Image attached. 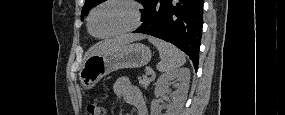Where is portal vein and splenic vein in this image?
I'll return each mask as SVG.
<instances>
[{
  "label": "portal vein and splenic vein",
  "mask_w": 285,
  "mask_h": 115,
  "mask_svg": "<svg viewBox=\"0 0 285 115\" xmlns=\"http://www.w3.org/2000/svg\"><path fill=\"white\" fill-rule=\"evenodd\" d=\"M146 74L150 75V74H152V71L151 70H147Z\"/></svg>",
  "instance_id": "1"
}]
</instances>
